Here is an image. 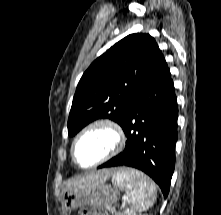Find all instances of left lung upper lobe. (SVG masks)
I'll return each instance as SVG.
<instances>
[{
  "label": "left lung upper lobe",
  "instance_id": "obj_1",
  "mask_svg": "<svg viewBox=\"0 0 221 215\" xmlns=\"http://www.w3.org/2000/svg\"><path fill=\"white\" fill-rule=\"evenodd\" d=\"M160 53L153 37L137 33L98 57L78 83L68 119L69 136L98 118L121 124L126 105Z\"/></svg>",
  "mask_w": 221,
  "mask_h": 215
}]
</instances>
